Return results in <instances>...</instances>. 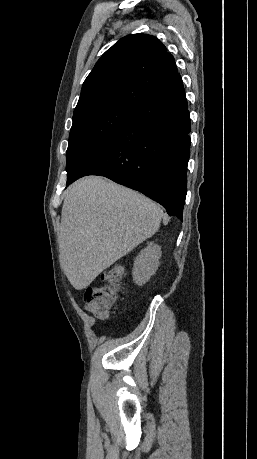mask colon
I'll list each match as a JSON object with an SVG mask.
<instances>
[{
    "label": "colon",
    "instance_id": "5ec220e1",
    "mask_svg": "<svg viewBox=\"0 0 257 459\" xmlns=\"http://www.w3.org/2000/svg\"><path fill=\"white\" fill-rule=\"evenodd\" d=\"M123 270L115 265L106 270L104 284L90 286L84 294L86 309L100 318L108 314L117 300V293L121 283Z\"/></svg>",
    "mask_w": 257,
    "mask_h": 459
}]
</instances>
